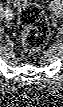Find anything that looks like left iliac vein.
<instances>
[{
    "label": "left iliac vein",
    "instance_id": "4c4485c4",
    "mask_svg": "<svg viewBox=\"0 0 63 107\" xmlns=\"http://www.w3.org/2000/svg\"><path fill=\"white\" fill-rule=\"evenodd\" d=\"M54 14L59 17L62 15V7L60 5H57L56 7L53 8Z\"/></svg>",
    "mask_w": 63,
    "mask_h": 107
}]
</instances>
